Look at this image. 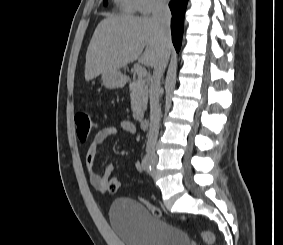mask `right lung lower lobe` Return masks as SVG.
Wrapping results in <instances>:
<instances>
[{"label": "right lung lower lobe", "mask_w": 283, "mask_h": 245, "mask_svg": "<svg viewBox=\"0 0 283 245\" xmlns=\"http://www.w3.org/2000/svg\"><path fill=\"white\" fill-rule=\"evenodd\" d=\"M188 0H172L169 7L172 13L171 33L172 41L176 51L178 52L181 46L183 27H184V13L186 10Z\"/></svg>", "instance_id": "1"}]
</instances>
